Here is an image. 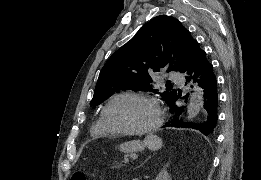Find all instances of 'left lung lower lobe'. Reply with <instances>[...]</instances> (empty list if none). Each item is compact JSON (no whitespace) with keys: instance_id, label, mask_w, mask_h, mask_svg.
I'll list each match as a JSON object with an SVG mask.
<instances>
[{"instance_id":"1","label":"left lung lower lobe","mask_w":261,"mask_h":180,"mask_svg":"<svg viewBox=\"0 0 261 180\" xmlns=\"http://www.w3.org/2000/svg\"><path fill=\"white\" fill-rule=\"evenodd\" d=\"M181 73L186 75L187 81L198 82L199 86L204 89L203 105L204 109H206V119L200 124L183 122L180 116L184 112L185 107H177L175 105V102L178 99L177 95H175L168 106L171 108V112H176V115L172 120L167 122L164 127L193 128L199 130L204 135L209 136L215 131L218 121L219 100L217 80L212 64L208 61L205 51H203L198 44L193 48L192 54ZM187 97L188 95L182 97V99H185V102H187Z\"/></svg>"}]
</instances>
